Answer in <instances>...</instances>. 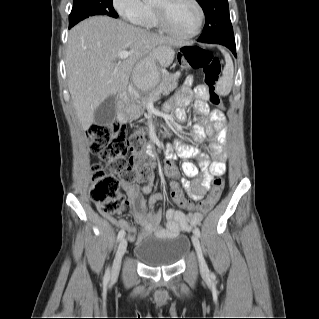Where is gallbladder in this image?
Returning a JSON list of instances; mask_svg holds the SVG:
<instances>
[{
  "label": "gallbladder",
  "mask_w": 319,
  "mask_h": 319,
  "mask_svg": "<svg viewBox=\"0 0 319 319\" xmlns=\"http://www.w3.org/2000/svg\"><path fill=\"white\" fill-rule=\"evenodd\" d=\"M116 96L105 99L94 111V123L96 125H107L116 118L117 107Z\"/></svg>",
  "instance_id": "obj_1"
}]
</instances>
